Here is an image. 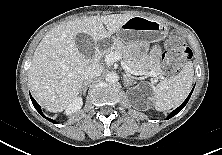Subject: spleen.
<instances>
[{"label":"spleen","instance_id":"spleen-1","mask_svg":"<svg viewBox=\"0 0 222 155\" xmlns=\"http://www.w3.org/2000/svg\"><path fill=\"white\" fill-rule=\"evenodd\" d=\"M192 62L185 64L178 75L164 79L153 87L154 107L157 111H167L179 106L188 96L193 83Z\"/></svg>","mask_w":222,"mask_h":155}]
</instances>
